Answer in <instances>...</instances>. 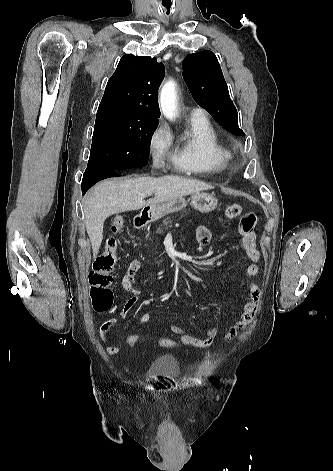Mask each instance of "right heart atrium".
I'll return each mask as SVG.
<instances>
[{"instance_id":"obj_1","label":"right heart atrium","mask_w":333,"mask_h":471,"mask_svg":"<svg viewBox=\"0 0 333 471\" xmlns=\"http://www.w3.org/2000/svg\"><path fill=\"white\" fill-rule=\"evenodd\" d=\"M170 146V133L163 124H158L149 136L148 149L153 163L160 166Z\"/></svg>"}]
</instances>
